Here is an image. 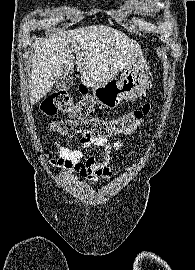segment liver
I'll use <instances>...</instances> for the list:
<instances>
[{"label": "liver", "instance_id": "1", "mask_svg": "<svg viewBox=\"0 0 195 270\" xmlns=\"http://www.w3.org/2000/svg\"><path fill=\"white\" fill-rule=\"evenodd\" d=\"M137 60H143L139 44L105 25L58 31L37 39L31 64L30 101L35 103L50 92L58 76L72 74L74 64L83 85L96 87Z\"/></svg>", "mask_w": 195, "mask_h": 270}]
</instances>
